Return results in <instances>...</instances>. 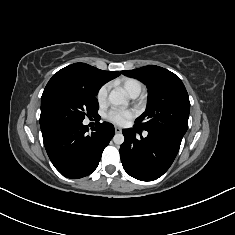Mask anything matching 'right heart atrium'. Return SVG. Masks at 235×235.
Here are the masks:
<instances>
[{"mask_svg":"<svg viewBox=\"0 0 235 235\" xmlns=\"http://www.w3.org/2000/svg\"><path fill=\"white\" fill-rule=\"evenodd\" d=\"M109 88H110L109 84H104L98 89L96 94V99L99 104H103L106 101Z\"/></svg>","mask_w":235,"mask_h":235,"instance_id":"obj_1","label":"right heart atrium"}]
</instances>
